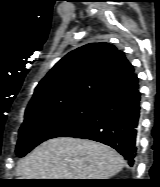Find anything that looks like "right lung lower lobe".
<instances>
[{
    "instance_id": "right-lung-lower-lobe-1",
    "label": "right lung lower lobe",
    "mask_w": 160,
    "mask_h": 187,
    "mask_svg": "<svg viewBox=\"0 0 160 187\" xmlns=\"http://www.w3.org/2000/svg\"><path fill=\"white\" fill-rule=\"evenodd\" d=\"M139 79L133 73L102 96L92 113L59 137L94 140L116 149L133 166L141 110Z\"/></svg>"
}]
</instances>
